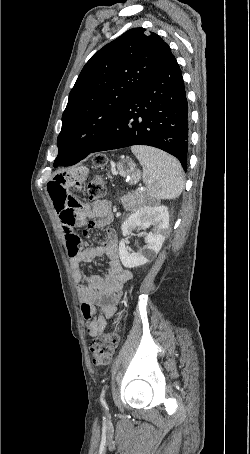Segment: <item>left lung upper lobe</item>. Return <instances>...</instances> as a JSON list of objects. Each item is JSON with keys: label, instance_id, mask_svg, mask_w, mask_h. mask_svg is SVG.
I'll use <instances>...</instances> for the list:
<instances>
[{"label": "left lung upper lobe", "instance_id": "5c2ea615", "mask_svg": "<svg viewBox=\"0 0 250 454\" xmlns=\"http://www.w3.org/2000/svg\"><path fill=\"white\" fill-rule=\"evenodd\" d=\"M145 31H126L83 67L62 115L55 161L89 155L127 102L172 57L157 34Z\"/></svg>", "mask_w": 250, "mask_h": 454}]
</instances>
